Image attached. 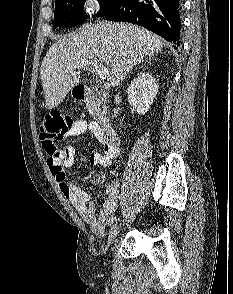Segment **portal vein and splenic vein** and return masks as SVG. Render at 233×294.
<instances>
[{
	"mask_svg": "<svg viewBox=\"0 0 233 294\" xmlns=\"http://www.w3.org/2000/svg\"><path fill=\"white\" fill-rule=\"evenodd\" d=\"M89 65H92L95 68L101 80L106 79L110 74L109 69L105 68L102 63H99L96 61L94 62V61L83 60L77 64L76 68L81 69Z\"/></svg>",
	"mask_w": 233,
	"mask_h": 294,
	"instance_id": "portal-vein-and-splenic-vein-1",
	"label": "portal vein and splenic vein"
}]
</instances>
